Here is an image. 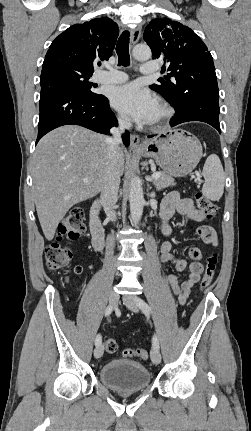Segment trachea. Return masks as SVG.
<instances>
[{"instance_id": "obj_1", "label": "trachea", "mask_w": 251, "mask_h": 431, "mask_svg": "<svg viewBox=\"0 0 251 431\" xmlns=\"http://www.w3.org/2000/svg\"><path fill=\"white\" fill-rule=\"evenodd\" d=\"M129 36L128 31H124L118 39L116 45V53L118 55V63L124 67L130 65V55H129Z\"/></svg>"}]
</instances>
